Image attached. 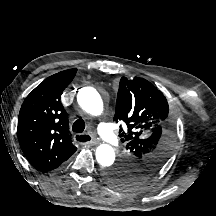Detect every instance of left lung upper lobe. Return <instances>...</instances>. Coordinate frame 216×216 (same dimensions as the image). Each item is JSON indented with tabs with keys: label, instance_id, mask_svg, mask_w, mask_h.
<instances>
[{
	"label": "left lung upper lobe",
	"instance_id": "obj_1",
	"mask_svg": "<svg viewBox=\"0 0 216 216\" xmlns=\"http://www.w3.org/2000/svg\"><path fill=\"white\" fill-rule=\"evenodd\" d=\"M114 121L126 124L119 130L124 150L118 163L105 169L103 176L115 188H135L166 162L174 141L173 111L163 93L149 81L122 77Z\"/></svg>",
	"mask_w": 216,
	"mask_h": 216
}]
</instances>
